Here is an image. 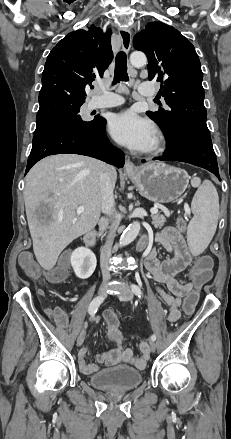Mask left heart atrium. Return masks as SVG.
Listing matches in <instances>:
<instances>
[{
  "label": "left heart atrium",
  "instance_id": "39dd6f15",
  "mask_svg": "<svg viewBox=\"0 0 231 439\" xmlns=\"http://www.w3.org/2000/svg\"><path fill=\"white\" fill-rule=\"evenodd\" d=\"M109 131L117 142L138 151L149 149L156 134L153 123L133 110L114 115L109 122Z\"/></svg>",
  "mask_w": 231,
  "mask_h": 439
}]
</instances>
